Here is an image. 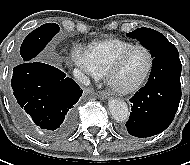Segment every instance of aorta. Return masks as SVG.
<instances>
[{"mask_svg":"<svg viewBox=\"0 0 190 165\" xmlns=\"http://www.w3.org/2000/svg\"><path fill=\"white\" fill-rule=\"evenodd\" d=\"M109 110L114 120L124 122L129 118V109L127 104L121 99H112L109 101Z\"/></svg>","mask_w":190,"mask_h":165,"instance_id":"aorta-1","label":"aorta"}]
</instances>
